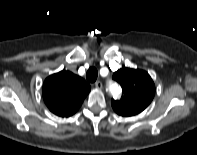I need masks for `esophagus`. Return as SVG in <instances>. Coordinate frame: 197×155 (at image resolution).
I'll return each instance as SVG.
<instances>
[{"label":"esophagus","mask_w":197,"mask_h":155,"mask_svg":"<svg viewBox=\"0 0 197 155\" xmlns=\"http://www.w3.org/2000/svg\"><path fill=\"white\" fill-rule=\"evenodd\" d=\"M102 86H103V84H102V82H101L100 80H98V81L95 82V87H96L97 89H101Z\"/></svg>","instance_id":"obj_1"}]
</instances>
